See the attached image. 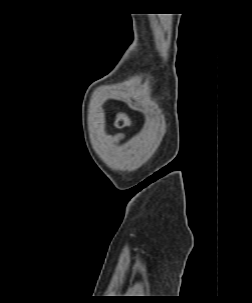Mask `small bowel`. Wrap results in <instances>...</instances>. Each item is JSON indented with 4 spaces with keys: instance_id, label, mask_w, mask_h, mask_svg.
<instances>
[{
    "instance_id": "obj_1",
    "label": "small bowel",
    "mask_w": 252,
    "mask_h": 303,
    "mask_svg": "<svg viewBox=\"0 0 252 303\" xmlns=\"http://www.w3.org/2000/svg\"><path fill=\"white\" fill-rule=\"evenodd\" d=\"M119 138H120L119 136H115L114 137V139H115L116 142H118Z\"/></svg>"
}]
</instances>
